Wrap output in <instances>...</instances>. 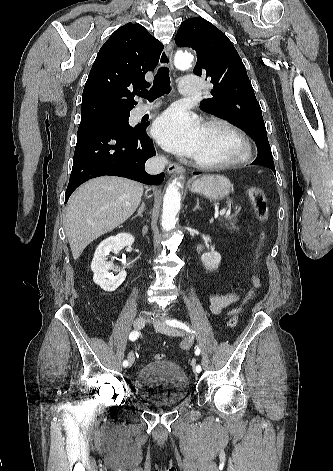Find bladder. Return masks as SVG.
Segmentation results:
<instances>
[{
  "label": "bladder",
  "mask_w": 333,
  "mask_h": 471,
  "mask_svg": "<svg viewBox=\"0 0 333 471\" xmlns=\"http://www.w3.org/2000/svg\"><path fill=\"white\" fill-rule=\"evenodd\" d=\"M135 394L151 405H175L188 394L190 382L180 365L171 360L144 364L134 379Z\"/></svg>",
  "instance_id": "obj_1"
}]
</instances>
